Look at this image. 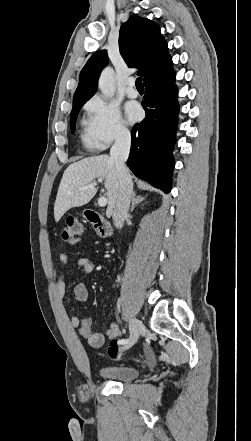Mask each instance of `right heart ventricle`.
Masks as SVG:
<instances>
[{"mask_svg": "<svg viewBox=\"0 0 251 441\" xmlns=\"http://www.w3.org/2000/svg\"><path fill=\"white\" fill-rule=\"evenodd\" d=\"M82 139H83V141H84L85 144H87V145L90 146V138H89L88 131L85 132V133H83V135H82Z\"/></svg>", "mask_w": 251, "mask_h": 441, "instance_id": "1", "label": "right heart ventricle"}]
</instances>
